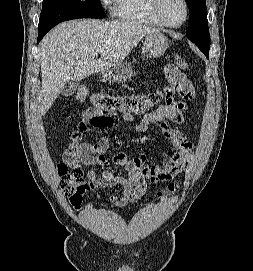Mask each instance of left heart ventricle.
<instances>
[{"mask_svg": "<svg viewBox=\"0 0 253 271\" xmlns=\"http://www.w3.org/2000/svg\"><path fill=\"white\" fill-rule=\"evenodd\" d=\"M160 10L164 18L172 24L179 23L185 13L182 0H160Z\"/></svg>", "mask_w": 253, "mask_h": 271, "instance_id": "left-heart-ventricle-1", "label": "left heart ventricle"}]
</instances>
